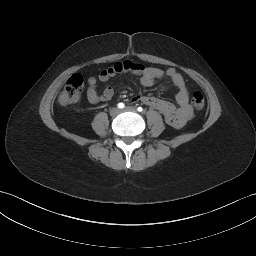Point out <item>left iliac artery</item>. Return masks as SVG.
<instances>
[{"label":"left iliac artery","instance_id":"1","mask_svg":"<svg viewBox=\"0 0 256 256\" xmlns=\"http://www.w3.org/2000/svg\"><path fill=\"white\" fill-rule=\"evenodd\" d=\"M137 111H138V112H143V108H142V107H138V108H137Z\"/></svg>","mask_w":256,"mask_h":256}]
</instances>
